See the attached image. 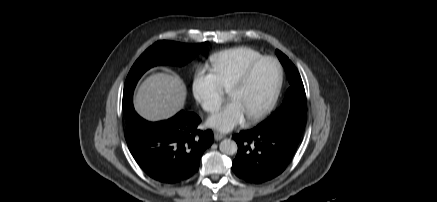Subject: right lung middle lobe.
<instances>
[{"instance_id": "1", "label": "right lung middle lobe", "mask_w": 437, "mask_h": 202, "mask_svg": "<svg viewBox=\"0 0 437 202\" xmlns=\"http://www.w3.org/2000/svg\"><path fill=\"white\" fill-rule=\"evenodd\" d=\"M209 42L183 44L171 41H158L150 46L132 66L124 85L123 115L126 118L133 112L132 96L137 81L145 71L156 65L172 64L182 66L197 56Z\"/></svg>"}]
</instances>
